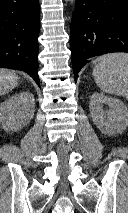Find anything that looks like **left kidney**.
<instances>
[{
  "mask_svg": "<svg viewBox=\"0 0 128 213\" xmlns=\"http://www.w3.org/2000/svg\"><path fill=\"white\" fill-rule=\"evenodd\" d=\"M103 104L108 105L109 109L105 111ZM89 110L94 124L105 135L122 133L128 127V109L119 99L93 93L90 97Z\"/></svg>",
  "mask_w": 128,
  "mask_h": 213,
  "instance_id": "1",
  "label": "left kidney"
}]
</instances>
